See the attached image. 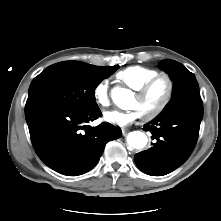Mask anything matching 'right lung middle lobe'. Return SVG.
Listing matches in <instances>:
<instances>
[{
  "mask_svg": "<svg viewBox=\"0 0 221 221\" xmlns=\"http://www.w3.org/2000/svg\"><path fill=\"white\" fill-rule=\"evenodd\" d=\"M118 68V65L100 67L77 61L53 64L33 79L26 105L51 103L79 111L96 109V87Z\"/></svg>",
  "mask_w": 221,
  "mask_h": 221,
  "instance_id": "1",
  "label": "right lung middle lobe"
}]
</instances>
